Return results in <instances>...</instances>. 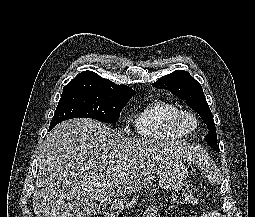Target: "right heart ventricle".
<instances>
[{
    "instance_id": "e07e8e85",
    "label": "right heart ventricle",
    "mask_w": 255,
    "mask_h": 217,
    "mask_svg": "<svg viewBox=\"0 0 255 217\" xmlns=\"http://www.w3.org/2000/svg\"><path fill=\"white\" fill-rule=\"evenodd\" d=\"M178 107L165 100H153L134 118L136 132L146 138L176 140L185 137L175 124Z\"/></svg>"
}]
</instances>
